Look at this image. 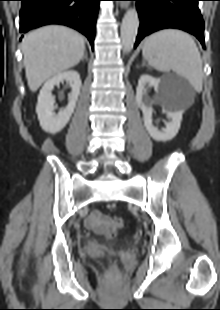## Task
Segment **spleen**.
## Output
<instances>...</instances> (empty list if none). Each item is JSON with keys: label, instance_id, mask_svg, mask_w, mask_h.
<instances>
[{"label": "spleen", "instance_id": "1", "mask_svg": "<svg viewBox=\"0 0 220 310\" xmlns=\"http://www.w3.org/2000/svg\"><path fill=\"white\" fill-rule=\"evenodd\" d=\"M148 64L158 71H174L200 92L203 69L200 52L193 38L180 30L164 29L150 35L142 50Z\"/></svg>", "mask_w": 220, "mask_h": 310}]
</instances>
